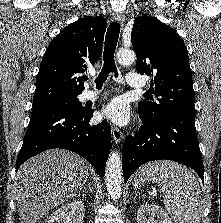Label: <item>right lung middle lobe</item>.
I'll return each mask as SVG.
<instances>
[{
  "mask_svg": "<svg viewBox=\"0 0 221 223\" xmlns=\"http://www.w3.org/2000/svg\"><path fill=\"white\" fill-rule=\"evenodd\" d=\"M77 96L33 104L31 119L53 112H78L84 110Z\"/></svg>",
  "mask_w": 221,
  "mask_h": 223,
  "instance_id": "obj_1",
  "label": "right lung middle lobe"
}]
</instances>
